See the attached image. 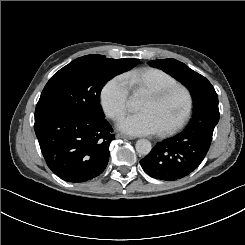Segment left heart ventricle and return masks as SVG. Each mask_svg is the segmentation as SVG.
<instances>
[{"label": "left heart ventricle", "instance_id": "b2bd125f", "mask_svg": "<svg viewBox=\"0 0 245 245\" xmlns=\"http://www.w3.org/2000/svg\"><path fill=\"white\" fill-rule=\"evenodd\" d=\"M185 110V98L178 92L163 102H156L152 96L143 95L139 105V111L149 112L156 119L160 129L171 125L183 114Z\"/></svg>", "mask_w": 245, "mask_h": 245}]
</instances>
